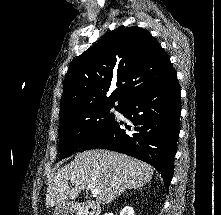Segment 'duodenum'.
<instances>
[{
	"label": "duodenum",
	"mask_w": 221,
	"mask_h": 215,
	"mask_svg": "<svg viewBox=\"0 0 221 215\" xmlns=\"http://www.w3.org/2000/svg\"><path fill=\"white\" fill-rule=\"evenodd\" d=\"M82 215H100V208L95 203H87L81 210Z\"/></svg>",
	"instance_id": "410a0bca"
}]
</instances>
